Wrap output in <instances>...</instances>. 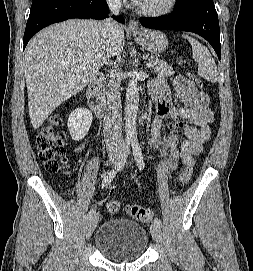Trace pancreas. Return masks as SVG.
Wrapping results in <instances>:
<instances>
[{"mask_svg":"<svg viewBox=\"0 0 253 271\" xmlns=\"http://www.w3.org/2000/svg\"><path fill=\"white\" fill-rule=\"evenodd\" d=\"M149 61H156L157 64L153 66L154 72L160 77H169L174 74L172 67L166 62L160 60L158 56H151Z\"/></svg>","mask_w":253,"mask_h":271,"instance_id":"1","label":"pancreas"}]
</instances>
